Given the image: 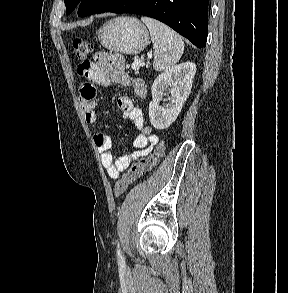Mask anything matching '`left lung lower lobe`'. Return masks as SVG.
I'll list each match as a JSON object with an SVG mask.
<instances>
[{
  "instance_id": "1",
  "label": "left lung lower lobe",
  "mask_w": 288,
  "mask_h": 293,
  "mask_svg": "<svg viewBox=\"0 0 288 293\" xmlns=\"http://www.w3.org/2000/svg\"><path fill=\"white\" fill-rule=\"evenodd\" d=\"M209 0H119L104 11L141 14L157 19L198 48L205 47Z\"/></svg>"
}]
</instances>
